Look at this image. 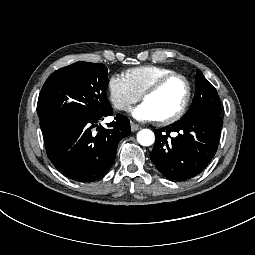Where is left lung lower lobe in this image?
<instances>
[{
  "label": "left lung lower lobe",
  "mask_w": 255,
  "mask_h": 255,
  "mask_svg": "<svg viewBox=\"0 0 255 255\" xmlns=\"http://www.w3.org/2000/svg\"><path fill=\"white\" fill-rule=\"evenodd\" d=\"M223 121L219 113L198 110L155 130L150 158L170 180L185 181L200 174L214 157ZM173 133L171 137L170 134Z\"/></svg>",
  "instance_id": "1"
}]
</instances>
